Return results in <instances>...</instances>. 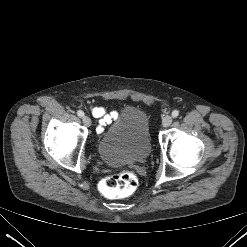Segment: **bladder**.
<instances>
[{"label": "bladder", "mask_w": 247, "mask_h": 247, "mask_svg": "<svg viewBox=\"0 0 247 247\" xmlns=\"http://www.w3.org/2000/svg\"><path fill=\"white\" fill-rule=\"evenodd\" d=\"M149 120L139 108L126 107L98 143V154L109 166L144 161L151 153Z\"/></svg>", "instance_id": "obj_1"}]
</instances>
